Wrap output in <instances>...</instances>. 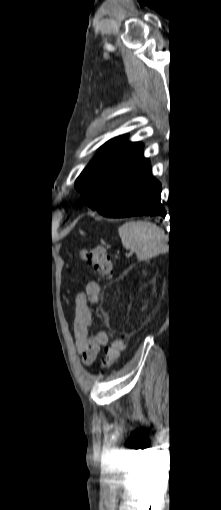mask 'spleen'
Listing matches in <instances>:
<instances>
[{
  "label": "spleen",
  "instance_id": "obj_1",
  "mask_svg": "<svg viewBox=\"0 0 221 510\" xmlns=\"http://www.w3.org/2000/svg\"><path fill=\"white\" fill-rule=\"evenodd\" d=\"M123 246L134 251L139 260L152 258L167 249V236L156 225L145 221H129L118 229Z\"/></svg>",
  "mask_w": 221,
  "mask_h": 510
}]
</instances>
